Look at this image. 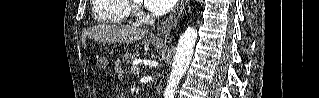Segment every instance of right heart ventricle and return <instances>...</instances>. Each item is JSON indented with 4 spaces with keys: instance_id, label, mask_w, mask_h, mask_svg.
I'll return each instance as SVG.
<instances>
[{
    "instance_id": "right-heart-ventricle-1",
    "label": "right heart ventricle",
    "mask_w": 319,
    "mask_h": 98,
    "mask_svg": "<svg viewBox=\"0 0 319 98\" xmlns=\"http://www.w3.org/2000/svg\"><path fill=\"white\" fill-rule=\"evenodd\" d=\"M92 13L98 23H120L129 17L130 6L126 0H95Z\"/></svg>"
}]
</instances>
